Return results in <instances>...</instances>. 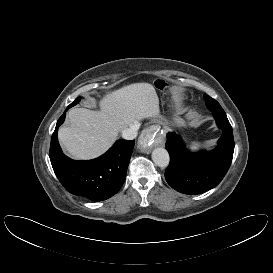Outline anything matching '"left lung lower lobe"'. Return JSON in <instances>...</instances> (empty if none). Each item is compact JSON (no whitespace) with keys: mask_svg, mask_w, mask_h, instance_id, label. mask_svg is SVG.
<instances>
[{"mask_svg":"<svg viewBox=\"0 0 273 273\" xmlns=\"http://www.w3.org/2000/svg\"><path fill=\"white\" fill-rule=\"evenodd\" d=\"M223 134L217 147L210 151L190 153L179 136L167 134L166 149L170 164L165 171L168 184L184 194H201L216 187L227 173L233 158L234 138L226 114L213 113Z\"/></svg>","mask_w":273,"mask_h":273,"instance_id":"left-lung-lower-lobe-1","label":"left lung lower lobe"}]
</instances>
